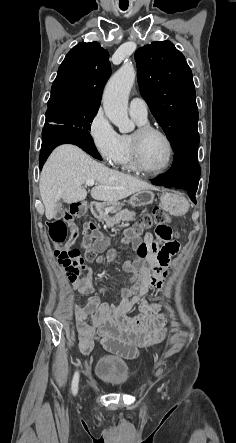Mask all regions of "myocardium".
<instances>
[{
  "label": "myocardium",
  "mask_w": 236,
  "mask_h": 443,
  "mask_svg": "<svg viewBox=\"0 0 236 443\" xmlns=\"http://www.w3.org/2000/svg\"><path fill=\"white\" fill-rule=\"evenodd\" d=\"M152 133H156L161 137H163L169 149V158L166 165L158 170H152L147 168L143 163L141 155L142 141L146 136ZM131 153H132L133 164L136 170L147 175H160L168 171L172 166L175 156V149L170 136L164 130L150 124H142L139 125L136 131L131 135Z\"/></svg>",
  "instance_id": "1"
}]
</instances>
